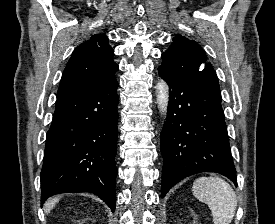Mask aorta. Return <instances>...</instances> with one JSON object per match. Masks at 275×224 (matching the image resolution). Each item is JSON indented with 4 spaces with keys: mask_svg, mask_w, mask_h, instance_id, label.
Instances as JSON below:
<instances>
[{
    "mask_svg": "<svg viewBox=\"0 0 275 224\" xmlns=\"http://www.w3.org/2000/svg\"><path fill=\"white\" fill-rule=\"evenodd\" d=\"M156 92H157V104L161 114H166L169 95H168V86L167 83L163 79H159L156 85Z\"/></svg>",
    "mask_w": 275,
    "mask_h": 224,
    "instance_id": "1",
    "label": "aorta"
}]
</instances>
